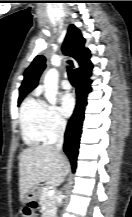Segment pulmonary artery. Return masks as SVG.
Here are the masks:
<instances>
[{
    "mask_svg": "<svg viewBox=\"0 0 132 217\" xmlns=\"http://www.w3.org/2000/svg\"><path fill=\"white\" fill-rule=\"evenodd\" d=\"M61 87L65 90H69L71 88L70 82L67 79L62 80Z\"/></svg>",
    "mask_w": 132,
    "mask_h": 217,
    "instance_id": "1",
    "label": "pulmonary artery"
}]
</instances>
